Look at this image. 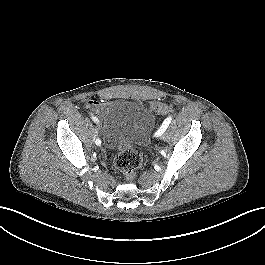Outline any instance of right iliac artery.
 Listing matches in <instances>:
<instances>
[{"instance_id":"right-iliac-artery-1","label":"right iliac artery","mask_w":265,"mask_h":265,"mask_svg":"<svg viewBox=\"0 0 265 265\" xmlns=\"http://www.w3.org/2000/svg\"><path fill=\"white\" fill-rule=\"evenodd\" d=\"M91 118H92V120H93L94 122L99 123V120H98L95 116L92 115ZM95 143H96V145H100V144H101V140H100V139H97V140L95 141Z\"/></svg>"}]
</instances>
